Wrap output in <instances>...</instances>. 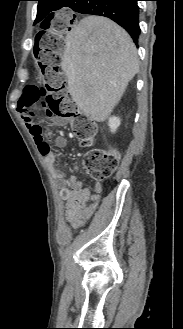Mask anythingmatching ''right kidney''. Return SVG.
Here are the masks:
<instances>
[{"label":"right kidney","mask_w":183,"mask_h":329,"mask_svg":"<svg viewBox=\"0 0 183 329\" xmlns=\"http://www.w3.org/2000/svg\"><path fill=\"white\" fill-rule=\"evenodd\" d=\"M120 125V119L118 117H110L108 126L110 127L111 132H115Z\"/></svg>","instance_id":"1"}]
</instances>
